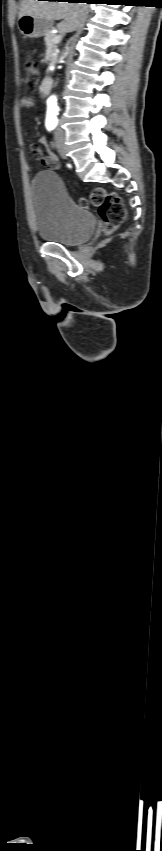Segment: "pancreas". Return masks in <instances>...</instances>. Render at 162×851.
I'll return each instance as SVG.
<instances>
[{"mask_svg":"<svg viewBox=\"0 0 162 851\" xmlns=\"http://www.w3.org/2000/svg\"><path fill=\"white\" fill-rule=\"evenodd\" d=\"M56 36H57V35H56V34H54V33H52V31H49V32L45 35V38H44V40H45V44H46V46H47V47H48L51 51H54V50L57 48V44L59 43V41H56V40H55V39H56Z\"/></svg>","mask_w":162,"mask_h":851,"instance_id":"pancreas-1","label":"pancreas"}]
</instances>
